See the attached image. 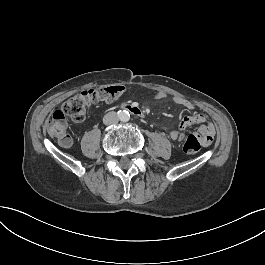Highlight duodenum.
<instances>
[{
    "mask_svg": "<svg viewBox=\"0 0 265 265\" xmlns=\"http://www.w3.org/2000/svg\"><path fill=\"white\" fill-rule=\"evenodd\" d=\"M122 108L127 110V111H129V112H131L135 116L145 117V112L140 107H138L136 105L126 104Z\"/></svg>",
    "mask_w": 265,
    "mask_h": 265,
    "instance_id": "obj_1",
    "label": "duodenum"
}]
</instances>
